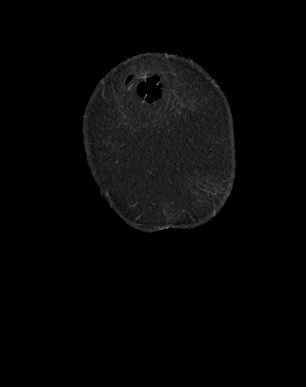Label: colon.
Masks as SVG:
<instances>
[{"label":"colon","mask_w":306,"mask_h":387,"mask_svg":"<svg viewBox=\"0 0 306 387\" xmlns=\"http://www.w3.org/2000/svg\"><path fill=\"white\" fill-rule=\"evenodd\" d=\"M140 96L146 103L157 102L162 96V84L157 78H147L140 84Z\"/></svg>","instance_id":"colon-1"}]
</instances>
